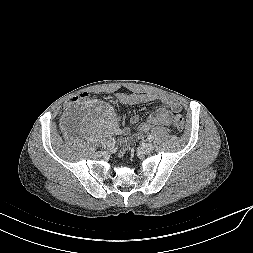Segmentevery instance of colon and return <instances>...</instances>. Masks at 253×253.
Masks as SVG:
<instances>
[{
	"label": "colon",
	"mask_w": 253,
	"mask_h": 253,
	"mask_svg": "<svg viewBox=\"0 0 253 253\" xmlns=\"http://www.w3.org/2000/svg\"><path fill=\"white\" fill-rule=\"evenodd\" d=\"M88 100V95L86 93H79L76 94L74 97L70 98L67 102L66 105H63L61 107V112L63 114H70L71 110L81 103H84ZM173 125L174 127L181 131L184 129L185 125V120L181 115H176L173 119Z\"/></svg>",
	"instance_id": "1"
}]
</instances>
